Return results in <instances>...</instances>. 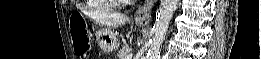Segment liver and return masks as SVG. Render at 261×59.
<instances>
[{"label":"liver","mask_w":261,"mask_h":59,"mask_svg":"<svg viewBox=\"0 0 261 59\" xmlns=\"http://www.w3.org/2000/svg\"><path fill=\"white\" fill-rule=\"evenodd\" d=\"M97 23L108 28H118L128 21V17L120 13L100 12L94 15Z\"/></svg>","instance_id":"6515ba94"}]
</instances>
